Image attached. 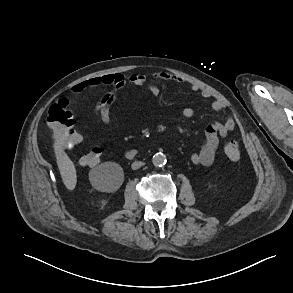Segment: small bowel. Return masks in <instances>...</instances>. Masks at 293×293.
Masks as SVG:
<instances>
[{
  "label": "small bowel",
  "instance_id": "c3829d8e",
  "mask_svg": "<svg viewBox=\"0 0 293 293\" xmlns=\"http://www.w3.org/2000/svg\"><path fill=\"white\" fill-rule=\"evenodd\" d=\"M153 77L163 81H173L176 83H183L184 80L174 74L168 72H156ZM148 80V77L144 74H136L130 76L127 80L121 74L112 73L101 76H93L88 79L82 80L71 87L70 91L73 94H78L87 88H95L99 86H111L114 90L104 94L94 105L93 113L97 116L100 122L104 125L111 123V110L114 102L116 101L120 90L126 85V82H130L135 86H144ZM149 91L153 95H158L160 89L156 85H149ZM193 92H199L204 99H211L212 93L208 90L202 89L197 84L191 85ZM210 108L213 111H223L225 106L222 101L214 100L210 104ZM195 110L192 107H187L183 110L182 115L185 119H190L194 116ZM235 128V120L233 117L228 116L223 123H212L207 127L204 134V143L198 152H195L191 156V162L195 165L210 166L215 159L216 151L219 144V136H227Z\"/></svg>",
  "mask_w": 293,
  "mask_h": 293
}]
</instances>
